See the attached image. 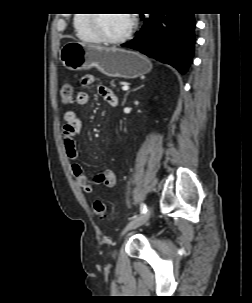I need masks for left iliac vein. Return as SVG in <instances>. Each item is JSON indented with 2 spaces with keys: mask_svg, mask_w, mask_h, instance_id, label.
Here are the masks:
<instances>
[{
  "mask_svg": "<svg viewBox=\"0 0 252 303\" xmlns=\"http://www.w3.org/2000/svg\"><path fill=\"white\" fill-rule=\"evenodd\" d=\"M150 215H151V208H148L146 212L142 213L138 217H136L133 220H131L126 225L123 233H125V232H127L129 230H133V229H136V228L142 226L143 224H145L148 221V219L150 218Z\"/></svg>",
  "mask_w": 252,
  "mask_h": 303,
  "instance_id": "4c4485c4",
  "label": "left iliac vein"
}]
</instances>
